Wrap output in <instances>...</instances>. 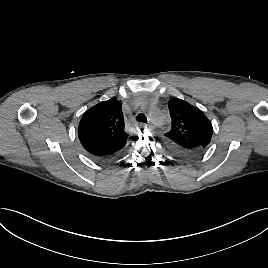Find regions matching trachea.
<instances>
[{"mask_svg": "<svg viewBox=\"0 0 268 268\" xmlns=\"http://www.w3.org/2000/svg\"><path fill=\"white\" fill-rule=\"evenodd\" d=\"M136 120L138 122H142V123H146L147 122V118L143 113H139L136 117Z\"/></svg>", "mask_w": 268, "mask_h": 268, "instance_id": "trachea-1", "label": "trachea"}]
</instances>
